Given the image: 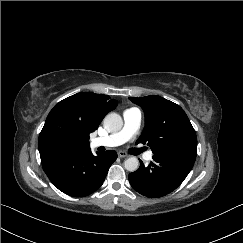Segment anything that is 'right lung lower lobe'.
Returning <instances> with one entry per match:
<instances>
[{"label":"right lung lower lobe","mask_w":243,"mask_h":243,"mask_svg":"<svg viewBox=\"0 0 243 243\" xmlns=\"http://www.w3.org/2000/svg\"><path fill=\"white\" fill-rule=\"evenodd\" d=\"M117 153L108 150L94 156L91 149L74 155L41 161L50 181L63 193L84 197L102 185Z\"/></svg>","instance_id":"98d812e1"}]
</instances>
